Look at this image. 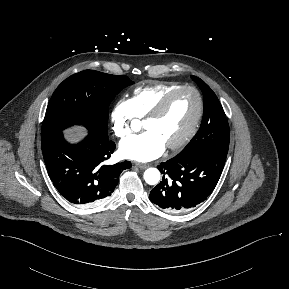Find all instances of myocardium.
Here are the masks:
<instances>
[{"instance_id": "1", "label": "myocardium", "mask_w": 289, "mask_h": 289, "mask_svg": "<svg viewBox=\"0 0 289 289\" xmlns=\"http://www.w3.org/2000/svg\"><path fill=\"white\" fill-rule=\"evenodd\" d=\"M190 90L195 93L197 100H198V108L197 112L195 115V118L193 120V123L189 130L186 132V134L176 143L167 145V149L171 151H176L184 146H186L192 138L195 136L197 133L202 117H203V112H204V100L202 97L201 92L194 86L191 85H182L172 91H170L160 102L159 104L144 118V122L151 121V120H156L160 118L168 109L171 101L173 98L179 94L182 91Z\"/></svg>"}]
</instances>
